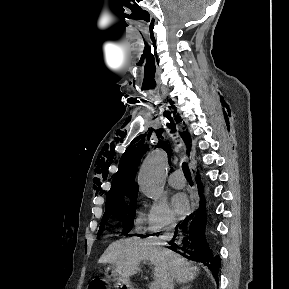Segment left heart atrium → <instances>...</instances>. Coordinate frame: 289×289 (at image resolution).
Wrapping results in <instances>:
<instances>
[{"mask_svg": "<svg viewBox=\"0 0 289 289\" xmlns=\"http://www.w3.org/2000/svg\"><path fill=\"white\" fill-rule=\"evenodd\" d=\"M171 206L175 214L182 215L188 210V200L183 193H176L171 197Z\"/></svg>", "mask_w": 289, "mask_h": 289, "instance_id": "left-heart-atrium-1", "label": "left heart atrium"}]
</instances>
